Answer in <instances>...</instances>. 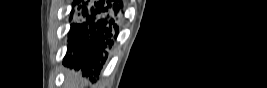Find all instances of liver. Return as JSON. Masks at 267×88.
Wrapping results in <instances>:
<instances>
[{
	"label": "liver",
	"instance_id": "obj_1",
	"mask_svg": "<svg viewBox=\"0 0 267 88\" xmlns=\"http://www.w3.org/2000/svg\"><path fill=\"white\" fill-rule=\"evenodd\" d=\"M73 74H74V71L67 72V83H68V80L73 76Z\"/></svg>",
	"mask_w": 267,
	"mask_h": 88
}]
</instances>
